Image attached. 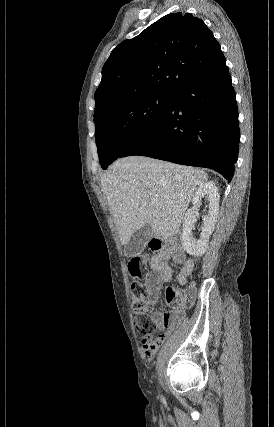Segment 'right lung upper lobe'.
<instances>
[{
    "mask_svg": "<svg viewBox=\"0 0 274 427\" xmlns=\"http://www.w3.org/2000/svg\"><path fill=\"white\" fill-rule=\"evenodd\" d=\"M225 64L219 43L201 19L168 14L113 49L95 92L94 117L132 96L174 94Z\"/></svg>",
    "mask_w": 274,
    "mask_h": 427,
    "instance_id": "obj_1",
    "label": "right lung upper lobe"
}]
</instances>
